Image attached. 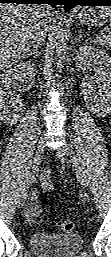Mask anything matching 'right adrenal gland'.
<instances>
[{
  "label": "right adrenal gland",
  "mask_w": 111,
  "mask_h": 257,
  "mask_svg": "<svg viewBox=\"0 0 111 257\" xmlns=\"http://www.w3.org/2000/svg\"><path fill=\"white\" fill-rule=\"evenodd\" d=\"M32 55L34 58H36L38 56V51H30L29 53H27L26 57H30Z\"/></svg>",
  "instance_id": "1"
}]
</instances>
